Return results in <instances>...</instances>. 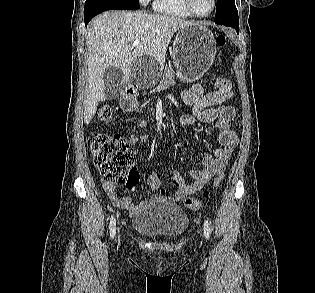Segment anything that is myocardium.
<instances>
[{"label": "myocardium", "mask_w": 315, "mask_h": 293, "mask_svg": "<svg viewBox=\"0 0 315 293\" xmlns=\"http://www.w3.org/2000/svg\"><path fill=\"white\" fill-rule=\"evenodd\" d=\"M213 6L212 9L209 13L207 14H199L195 8H194V4H193V0H185V4L188 8V10L195 16V17H199V18H206L209 17L211 14H213V12L216 9L217 6V0H212Z\"/></svg>", "instance_id": "myocardium-1"}]
</instances>
